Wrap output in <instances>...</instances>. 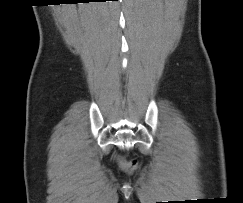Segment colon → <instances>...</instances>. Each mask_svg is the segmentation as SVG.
<instances>
[{
	"mask_svg": "<svg viewBox=\"0 0 243 203\" xmlns=\"http://www.w3.org/2000/svg\"><path fill=\"white\" fill-rule=\"evenodd\" d=\"M121 165L124 169H126L128 171H132L136 167V161L135 160H132V161H129V162L121 161Z\"/></svg>",
	"mask_w": 243,
	"mask_h": 203,
	"instance_id": "colon-1",
	"label": "colon"
}]
</instances>
